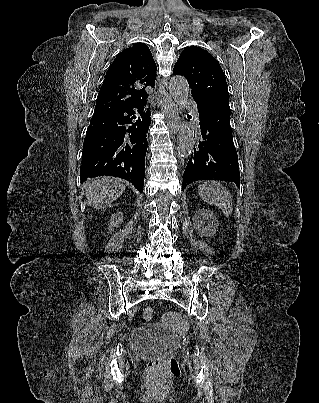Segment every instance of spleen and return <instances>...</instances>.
<instances>
[{"mask_svg": "<svg viewBox=\"0 0 319 403\" xmlns=\"http://www.w3.org/2000/svg\"><path fill=\"white\" fill-rule=\"evenodd\" d=\"M198 192L202 200L219 207L226 217L233 211L232 197L229 191L219 182H208L198 186Z\"/></svg>", "mask_w": 319, "mask_h": 403, "instance_id": "3e777b00", "label": "spleen"}]
</instances>
